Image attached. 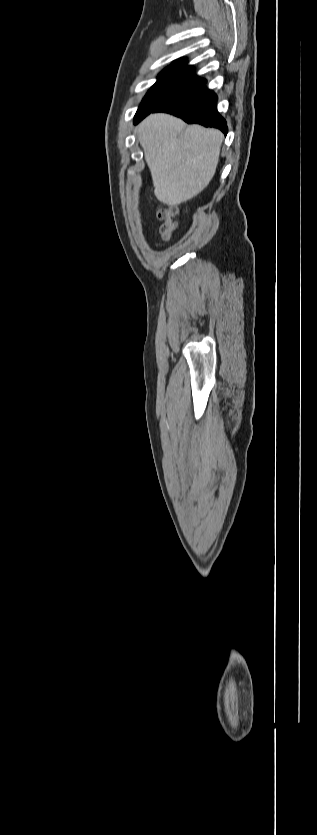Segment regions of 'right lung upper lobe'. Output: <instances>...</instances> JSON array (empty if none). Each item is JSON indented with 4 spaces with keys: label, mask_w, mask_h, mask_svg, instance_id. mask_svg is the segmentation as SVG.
<instances>
[{
    "label": "right lung upper lobe",
    "mask_w": 317,
    "mask_h": 835,
    "mask_svg": "<svg viewBox=\"0 0 317 835\" xmlns=\"http://www.w3.org/2000/svg\"><path fill=\"white\" fill-rule=\"evenodd\" d=\"M181 60H184V59H179L178 61H181Z\"/></svg>",
    "instance_id": "cb5924a9"
}]
</instances>
